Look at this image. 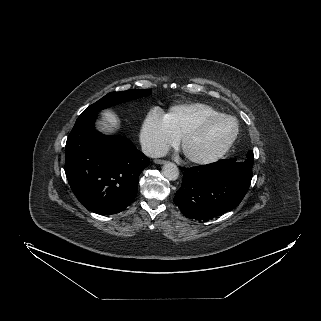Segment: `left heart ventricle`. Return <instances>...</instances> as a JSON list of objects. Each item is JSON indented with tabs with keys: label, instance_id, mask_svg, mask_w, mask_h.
<instances>
[{
	"label": "left heart ventricle",
	"instance_id": "b2bd125f",
	"mask_svg": "<svg viewBox=\"0 0 321 321\" xmlns=\"http://www.w3.org/2000/svg\"><path fill=\"white\" fill-rule=\"evenodd\" d=\"M234 123L231 120H219L207 126L202 132L188 140L187 153L205 157L215 153L232 135Z\"/></svg>",
	"mask_w": 321,
	"mask_h": 321
}]
</instances>
